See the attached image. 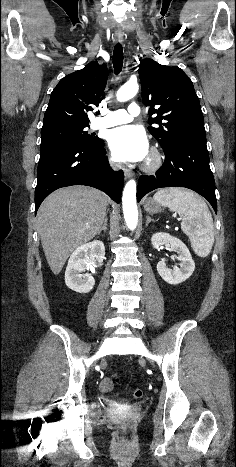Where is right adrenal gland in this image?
I'll return each mask as SVG.
<instances>
[{
    "label": "right adrenal gland",
    "instance_id": "1",
    "mask_svg": "<svg viewBox=\"0 0 236 467\" xmlns=\"http://www.w3.org/2000/svg\"><path fill=\"white\" fill-rule=\"evenodd\" d=\"M102 231H107V218H105L103 226L101 227V229L98 231L97 234L100 235Z\"/></svg>",
    "mask_w": 236,
    "mask_h": 467
}]
</instances>
